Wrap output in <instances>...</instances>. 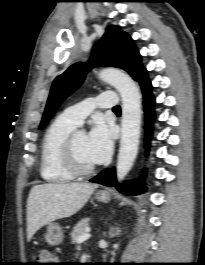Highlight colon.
Instances as JSON below:
<instances>
[{
	"mask_svg": "<svg viewBox=\"0 0 205 265\" xmlns=\"http://www.w3.org/2000/svg\"><path fill=\"white\" fill-rule=\"evenodd\" d=\"M36 258L39 262L38 263L39 265H54V264H56V263H54L56 261L55 255H53L48 250H40L37 253Z\"/></svg>",
	"mask_w": 205,
	"mask_h": 265,
	"instance_id": "colon-1",
	"label": "colon"
}]
</instances>
